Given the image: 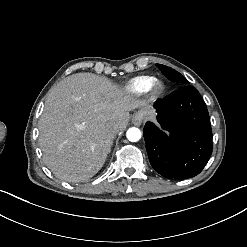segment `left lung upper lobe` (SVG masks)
<instances>
[{
  "label": "left lung upper lobe",
  "mask_w": 247,
  "mask_h": 247,
  "mask_svg": "<svg viewBox=\"0 0 247 247\" xmlns=\"http://www.w3.org/2000/svg\"><path fill=\"white\" fill-rule=\"evenodd\" d=\"M160 70L162 71V73L171 81H175V82H179L181 84L184 85H188L189 82L188 80L181 75L179 72L175 71L174 69L164 66L162 64H156Z\"/></svg>",
  "instance_id": "1"
}]
</instances>
